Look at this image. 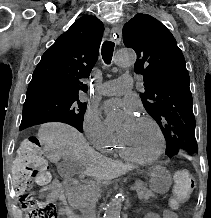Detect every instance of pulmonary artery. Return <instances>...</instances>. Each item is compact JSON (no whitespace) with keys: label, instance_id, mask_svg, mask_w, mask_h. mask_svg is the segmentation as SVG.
Listing matches in <instances>:
<instances>
[{"label":"pulmonary artery","instance_id":"obj_1","mask_svg":"<svg viewBox=\"0 0 211 218\" xmlns=\"http://www.w3.org/2000/svg\"><path fill=\"white\" fill-rule=\"evenodd\" d=\"M132 79L133 78L130 75H123L116 80H111L100 84L98 86V91L103 95L122 94L126 91H132V87L136 86V83Z\"/></svg>","mask_w":211,"mask_h":218}]
</instances>
